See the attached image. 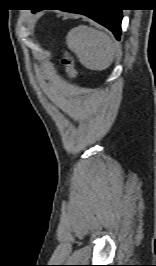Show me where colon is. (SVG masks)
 <instances>
[{"mask_svg": "<svg viewBox=\"0 0 156 266\" xmlns=\"http://www.w3.org/2000/svg\"><path fill=\"white\" fill-rule=\"evenodd\" d=\"M61 64L65 68L66 73L70 78H74L76 75L74 69V63L72 57L68 53H64L61 58Z\"/></svg>", "mask_w": 156, "mask_h": 266, "instance_id": "5ec220e1", "label": "colon"}]
</instances>
